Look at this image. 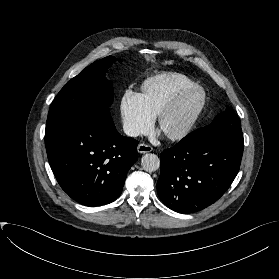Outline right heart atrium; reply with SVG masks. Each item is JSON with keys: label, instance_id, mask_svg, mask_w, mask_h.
Here are the masks:
<instances>
[{"label": "right heart atrium", "instance_id": "d8ad5b80", "mask_svg": "<svg viewBox=\"0 0 279 279\" xmlns=\"http://www.w3.org/2000/svg\"><path fill=\"white\" fill-rule=\"evenodd\" d=\"M119 113L123 130L130 137L146 133L154 121V116L147 109L141 94L131 90L122 94Z\"/></svg>", "mask_w": 279, "mask_h": 279}]
</instances>
